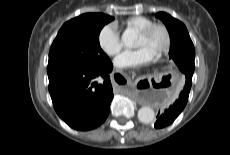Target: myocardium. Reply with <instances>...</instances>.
I'll use <instances>...</instances> for the list:
<instances>
[{
	"instance_id": "obj_1",
	"label": "myocardium",
	"mask_w": 230,
	"mask_h": 155,
	"mask_svg": "<svg viewBox=\"0 0 230 155\" xmlns=\"http://www.w3.org/2000/svg\"><path fill=\"white\" fill-rule=\"evenodd\" d=\"M161 30L165 35V43L161 50L155 56L156 59H159L169 53L172 46V34L167 25L163 23H152L143 30L138 32V35L142 37H149L155 30Z\"/></svg>"
}]
</instances>
